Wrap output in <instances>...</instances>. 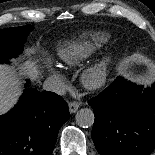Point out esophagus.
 <instances>
[{
	"mask_svg": "<svg viewBox=\"0 0 155 155\" xmlns=\"http://www.w3.org/2000/svg\"><path fill=\"white\" fill-rule=\"evenodd\" d=\"M79 106H80V104L78 102H71L69 104L70 113H75L78 110Z\"/></svg>",
	"mask_w": 155,
	"mask_h": 155,
	"instance_id": "1",
	"label": "esophagus"
}]
</instances>
